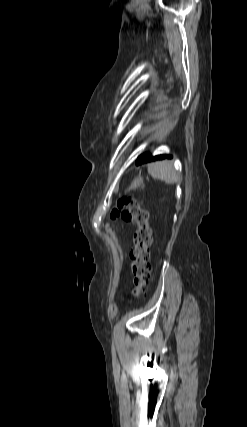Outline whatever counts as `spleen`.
<instances>
[{"instance_id": "1", "label": "spleen", "mask_w": 247, "mask_h": 427, "mask_svg": "<svg viewBox=\"0 0 247 427\" xmlns=\"http://www.w3.org/2000/svg\"><path fill=\"white\" fill-rule=\"evenodd\" d=\"M149 174L167 184H174L180 180V175L174 170L173 164L169 161H161L148 166Z\"/></svg>"}]
</instances>
